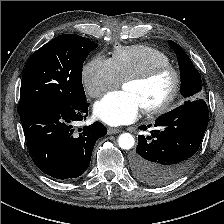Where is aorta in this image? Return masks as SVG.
Here are the masks:
<instances>
[{
    "instance_id": "aorta-1",
    "label": "aorta",
    "mask_w": 224,
    "mask_h": 224,
    "mask_svg": "<svg viewBox=\"0 0 224 224\" xmlns=\"http://www.w3.org/2000/svg\"><path fill=\"white\" fill-rule=\"evenodd\" d=\"M118 144L122 149L129 150L135 144V139L130 133H123L118 138Z\"/></svg>"
}]
</instances>
